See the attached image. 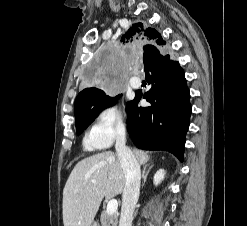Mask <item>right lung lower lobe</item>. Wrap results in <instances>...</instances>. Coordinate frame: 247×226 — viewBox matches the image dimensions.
<instances>
[{
  "mask_svg": "<svg viewBox=\"0 0 247 226\" xmlns=\"http://www.w3.org/2000/svg\"><path fill=\"white\" fill-rule=\"evenodd\" d=\"M151 74V89L143 95L150 107H138L136 94L127 103V130L134 144L146 150H166L183 161L185 134L191 115L190 93L183 69L166 46L152 48L143 59Z\"/></svg>",
  "mask_w": 247,
  "mask_h": 226,
  "instance_id": "right-lung-lower-lobe-1",
  "label": "right lung lower lobe"
}]
</instances>
